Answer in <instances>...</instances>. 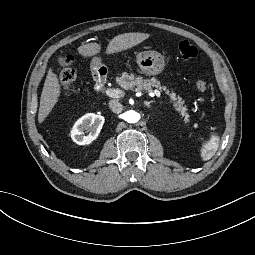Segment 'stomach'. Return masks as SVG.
Returning <instances> with one entry per match:
<instances>
[{
  "mask_svg": "<svg viewBox=\"0 0 255 255\" xmlns=\"http://www.w3.org/2000/svg\"><path fill=\"white\" fill-rule=\"evenodd\" d=\"M138 65L148 76L159 75L163 72L165 67V60L162 55L155 52L140 53L138 55ZM101 67V64L97 58L93 60L91 70L97 72Z\"/></svg>",
  "mask_w": 255,
  "mask_h": 255,
  "instance_id": "stomach-1",
  "label": "stomach"
}]
</instances>
